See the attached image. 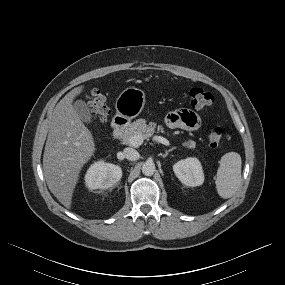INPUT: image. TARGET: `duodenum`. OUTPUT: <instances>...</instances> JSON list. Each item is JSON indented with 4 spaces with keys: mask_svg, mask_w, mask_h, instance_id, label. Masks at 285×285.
Masks as SVG:
<instances>
[{
    "mask_svg": "<svg viewBox=\"0 0 285 285\" xmlns=\"http://www.w3.org/2000/svg\"><path fill=\"white\" fill-rule=\"evenodd\" d=\"M127 127V120L122 117H116L112 124V135L114 138H119L124 133Z\"/></svg>",
    "mask_w": 285,
    "mask_h": 285,
    "instance_id": "duodenum-1",
    "label": "duodenum"
}]
</instances>
